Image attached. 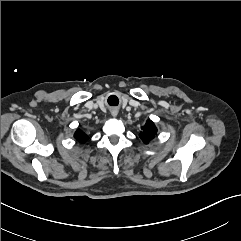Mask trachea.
<instances>
[{"label": "trachea", "mask_w": 241, "mask_h": 241, "mask_svg": "<svg viewBox=\"0 0 241 241\" xmlns=\"http://www.w3.org/2000/svg\"><path fill=\"white\" fill-rule=\"evenodd\" d=\"M108 103L111 106H116L119 103V96L116 93H111L108 96Z\"/></svg>", "instance_id": "1"}]
</instances>
